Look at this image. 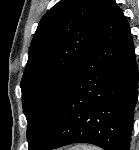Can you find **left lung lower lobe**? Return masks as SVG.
I'll use <instances>...</instances> for the list:
<instances>
[{
    "label": "left lung lower lobe",
    "instance_id": "left-lung-lower-lobe-1",
    "mask_svg": "<svg viewBox=\"0 0 139 150\" xmlns=\"http://www.w3.org/2000/svg\"><path fill=\"white\" fill-rule=\"evenodd\" d=\"M138 69L129 24L116 3L62 90L51 119L29 150L75 142L129 150L137 103Z\"/></svg>",
    "mask_w": 139,
    "mask_h": 150
}]
</instances>
